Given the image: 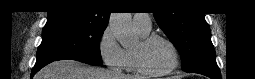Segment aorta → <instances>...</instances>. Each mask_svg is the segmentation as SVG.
<instances>
[{"instance_id":"aorta-1","label":"aorta","mask_w":255,"mask_h":79,"mask_svg":"<svg viewBox=\"0 0 255 79\" xmlns=\"http://www.w3.org/2000/svg\"><path fill=\"white\" fill-rule=\"evenodd\" d=\"M109 27L121 46L128 47L133 43L135 34L130 13H111Z\"/></svg>"}]
</instances>
